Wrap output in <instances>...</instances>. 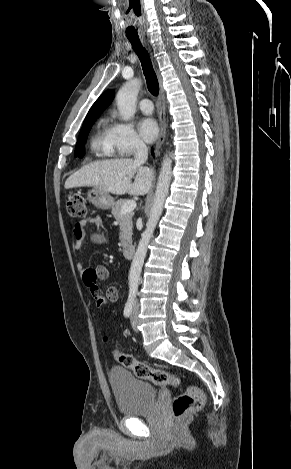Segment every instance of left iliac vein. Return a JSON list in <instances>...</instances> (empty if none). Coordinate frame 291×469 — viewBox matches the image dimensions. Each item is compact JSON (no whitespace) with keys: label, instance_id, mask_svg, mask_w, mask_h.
Instances as JSON below:
<instances>
[{"label":"left iliac vein","instance_id":"1","mask_svg":"<svg viewBox=\"0 0 291 469\" xmlns=\"http://www.w3.org/2000/svg\"><path fill=\"white\" fill-rule=\"evenodd\" d=\"M138 311H139V307H138V304H135L134 307H133V311H132V315H131V325H132V328L134 329V331L138 332Z\"/></svg>","mask_w":291,"mask_h":469}]
</instances>
